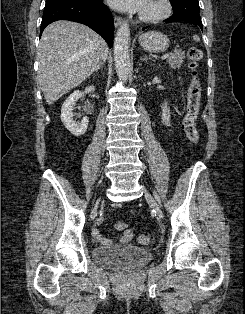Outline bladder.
Returning a JSON list of instances; mask_svg holds the SVG:
<instances>
[{
	"instance_id": "1",
	"label": "bladder",
	"mask_w": 245,
	"mask_h": 314,
	"mask_svg": "<svg viewBox=\"0 0 245 314\" xmlns=\"http://www.w3.org/2000/svg\"><path fill=\"white\" fill-rule=\"evenodd\" d=\"M96 263L109 267H138L153 259V253L136 246L97 247L93 251Z\"/></svg>"
}]
</instances>
